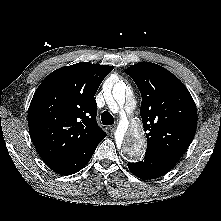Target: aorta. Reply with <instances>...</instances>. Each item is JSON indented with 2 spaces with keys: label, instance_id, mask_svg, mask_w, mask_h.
Here are the masks:
<instances>
[{
  "label": "aorta",
  "instance_id": "762f6f07",
  "mask_svg": "<svg viewBox=\"0 0 221 221\" xmlns=\"http://www.w3.org/2000/svg\"><path fill=\"white\" fill-rule=\"evenodd\" d=\"M104 96L108 104L111 100H114L120 108L124 106L125 102L130 110L136 105L131 90L123 81L114 83L111 90L107 87L104 91ZM122 132L124 137L117 140L122 152L132 160H139L143 156L146 147L145 132L142 124L136 122L129 129L122 128Z\"/></svg>",
  "mask_w": 221,
  "mask_h": 221
}]
</instances>
